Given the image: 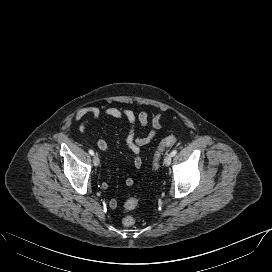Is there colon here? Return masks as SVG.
<instances>
[{
    "mask_svg": "<svg viewBox=\"0 0 272 272\" xmlns=\"http://www.w3.org/2000/svg\"><path fill=\"white\" fill-rule=\"evenodd\" d=\"M177 138L175 136H168L163 138L157 145L153 156V168L157 170L160 166L161 158L164 152L175 145ZM140 203L138 198H130L124 203V208L127 211L135 209ZM122 223L125 227H132L135 224V218L131 215L125 216L122 219Z\"/></svg>",
    "mask_w": 272,
    "mask_h": 272,
    "instance_id": "5ec220e1",
    "label": "colon"
}]
</instances>
